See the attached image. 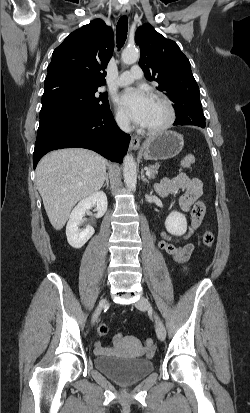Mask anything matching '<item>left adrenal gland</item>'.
<instances>
[{
  "label": "left adrenal gland",
  "mask_w": 250,
  "mask_h": 413,
  "mask_svg": "<svg viewBox=\"0 0 250 413\" xmlns=\"http://www.w3.org/2000/svg\"><path fill=\"white\" fill-rule=\"evenodd\" d=\"M141 178H142L143 182L149 183V180L145 177L143 171L141 172Z\"/></svg>",
  "instance_id": "a2214340"
}]
</instances>
